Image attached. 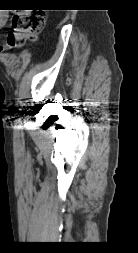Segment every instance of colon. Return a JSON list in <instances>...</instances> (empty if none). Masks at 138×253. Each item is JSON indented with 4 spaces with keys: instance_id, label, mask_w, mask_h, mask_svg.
Returning a JSON list of instances; mask_svg holds the SVG:
<instances>
[{
    "instance_id": "colon-1",
    "label": "colon",
    "mask_w": 138,
    "mask_h": 253,
    "mask_svg": "<svg viewBox=\"0 0 138 253\" xmlns=\"http://www.w3.org/2000/svg\"><path fill=\"white\" fill-rule=\"evenodd\" d=\"M46 18L42 12L18 11L11 17L12 30L8 34L7 44L18 47L26 39H34L45 26Z\"/></svg>"
}]
</instances>
